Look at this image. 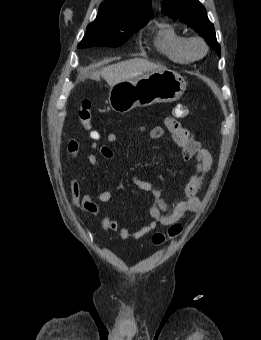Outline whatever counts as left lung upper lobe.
<instances>
[{"instance_id":"left-lung-upper-lobe-1","label":"left lung upper lobe","mask_w":261,"mask_h":340,"mask_svg":"<svg viewBox=\"0 0 261 340\" xmlns=\"http://www.w3.org/2000/svg\"><path fill=\"white\" fill-rule=\"evenodd\" d=\"M161 7L165 15L179 19L192 27L215 50L218 56L221 55L214 26L209 21L204 6L198 0H163Z\"/></svg>"}]
</instances>
